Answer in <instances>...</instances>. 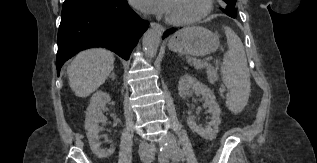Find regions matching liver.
Wrapping results in <instances>:
<instances>
[{
    "mask_svg": "<svg viewBox=\"0 0 317 163\" xmlns=\"http://www.w3.org/2000/svg\"><path fill=\"white\" fill-rule=\"evenodd\" d=\"M112 52L94 48L80 52L67 68L69 86L78 97H87L102 85L114 69Z\"/></svg>",
    "mask_w": 317,
    "mask_h": 163,
    "instance_id": "obj_1",
    "label": "liver"
}]
</instances>
